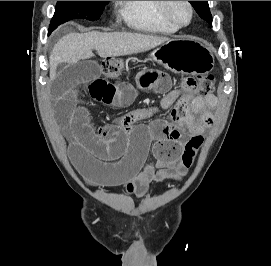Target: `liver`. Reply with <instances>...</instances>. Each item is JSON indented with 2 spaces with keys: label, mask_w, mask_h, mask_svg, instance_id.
<instances>
[{
  "label": "liver",
  "mask_w": 271,
  "mask_h": 266,
  "mask_svg": "<svg viewBox=\"0 0 271 266\" xmlns=\"http://www.w3.org/2000/svg\"><path fill=\"white\" fill-rule=\"evenodd\" d=\"M170 39L141 33L88 32L71 33L61 38L50 55V80L57 76V62H78L94 56L92 50L102 58L136 54L148 51Z\"/></svg>",
  "instance_id": "liver-1"
}]
</instances>
